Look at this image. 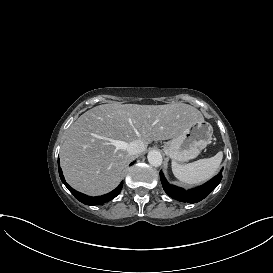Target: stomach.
Instances as JSON below:
<instances>
[{"label":"stomach","mask_w":273,"mask_h":273,"mask_svg":"<svg viewBox=\"0 0 273 273\" xmlns=\"http://www.w3.org/2000/svg\"><path fill=\"white\" fill-rule=\"evenodd\" d=\"M213 127L203 120L191 123L179 136L164 144V153L175 162L196 158L212 139Z\"/></svg>","instance_id":"1"}]
</instances>
